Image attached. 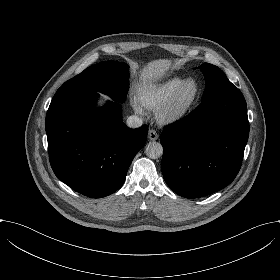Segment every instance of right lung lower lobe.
I'll list each match as a JSON object with an SVG mask.
<instances>
[{"mask_svg":"<svg viewBox=\"0 0 280 280\" xmlns=\"http://www.w3.org/2000/svg\"><path fill=\"white\" fill-rule=\"evenodd\" d=\"M98 93L59 88L46 115L51 167L75 191L102 198L124 183L128 168L145 145L148 127L130 129L120 102L95 108Z\"/></svg>","mask_w":280,"mask_h":280,"instance_id":"right-lung-lower-lobe-1","label":"right lung lower lobe"}]
</instances>
